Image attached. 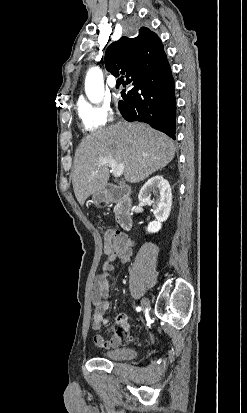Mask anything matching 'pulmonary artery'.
Here are the masks:
<instances>
[{
  "label": "pulmonary artery",
  "instance_id": "e3ab8cb5",
  "mask_svg": "<svg viewBox=\"0 0 247 413\" xmlns=\"http://www.w3.org/2000/svg\"><path fill=\"white\" fill-rule=\"evenodd\" d=\"M108 85L110 86V88L115 89L117 86V80L114 76H110L108 78Z\"/></svg>",
  "mask_w": 247,
  "mask_h": 413
}]
</instances>
